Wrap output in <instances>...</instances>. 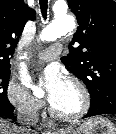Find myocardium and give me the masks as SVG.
Instances as JSON below:
<instances>
[{"label":"myocardium","mask_w":116,"mask_h":134,"mask_svg":"<svg viewBox=\"0 0 116 134\" xmlns=\"http://www.w3.org/2000/svg\"><path fill=\"white\" fill-rule=\"evenodd\" d=\"M66 83L73 87L78 93L80 98L79 108L75 112L68 114L58 111L56 108H54V106L51 105L50 112L54 117L60 120L74 122L81 119L88 113L91 105V98L87 88L79 80L68 79Z\"/></svg>","instance_id":"f54148a6"}]
</instances>
